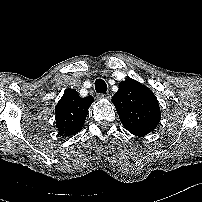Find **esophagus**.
I'll list each match as a JSON object with an SVG mask.
<instances>
[{
    "label": "esophagus",
    "instance_id": "34e87169",
    "mask_svg": "<svg viewBox=\"0 0 202 202\" xmlns=\"http://www.w3.org/2000/svg\"><path fill=\"white\" fill-rule=\"evenodd\" d=\"M98 99H109L111 96L109 94H97Z\"/></svg>",
    "mask_w": 202,
    "mask_h": 202
}]
</instances>
